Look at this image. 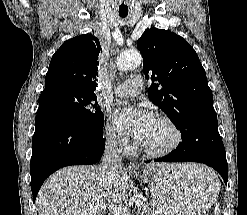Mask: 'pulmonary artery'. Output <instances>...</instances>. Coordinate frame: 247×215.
<instances>
[{"instance_id": "e3ab8cb5", "label": "pulmonary artery", "mask_w": 247, "mask_h": 215, "mask_svg": "<svg viewBox=\"0 0 247 215\" xmlns=\"http://www.w3.org/2000/svg\"><path fill=\"white\" fill-rule=\"evenodd\" d=\"M144 87L141 76H131L122 84L114 88L115 95L123 98L137 96Z\"/></svg>"}]
</instances>
